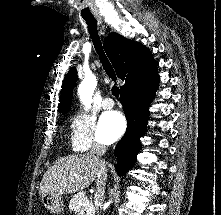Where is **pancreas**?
<instances>
[{
    "label": "pancreas",
    "mask_w": 221,
    "mask_h": 215,
    "mask_svg": "<svg viewBox=\"0 0 221 215\" xmlns=\"http://www.w3.org/2000/svg\"><path fill=\"white\" fill-rule=\"evenodd\" d=\"M84 192L74 195L69 202L70 211H74L77 215H94V206L89 202L87 206H80V203L86 200Z\"/></svg>",
    "instance_id": "1"
}]
</instances>
